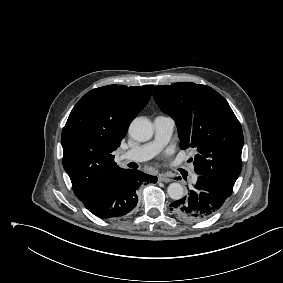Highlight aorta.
<instances>
[{
    "instance_id": "762f6f07",
    "label": "aorta",
    "mask_w": 283,
    "mask_h": 283,
    "mask_svg": "<svg viewBox=\"0 0 283 283\" xmlns=\"http://www.w3.org/2000/svg\"><path fill=\"white\" fill-rule=\"evenodd\" d=\"M129 133L134 140L145 142L153 136V125L147 118L139 117L131 122ZM167 193L171 199L179 200L184 195V188L180 183L174 182L168 186Z\"/></svg>"
}]
</instances>
